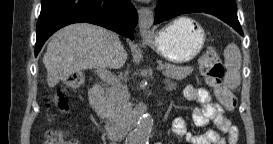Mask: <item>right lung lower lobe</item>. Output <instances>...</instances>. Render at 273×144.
Returning a JSON list of instances; mask_svg holds the SVG:
<instances>
[{"instance_id":"1","label":"right lung lower lobe","mask_w":273,"mask_h":144,"mask_svg":"<svg viewBox=\"0 0 273 144\" xmlns=\"http://www.w3.org/2000/svg\"><path fill=\"white\" fill-rule=\"evenodd\" d=\"M137 21L138 15L130 0H42L35 56L55 31L68 24L88 22L133 40Z\"/></svg>"}]
</instances>
